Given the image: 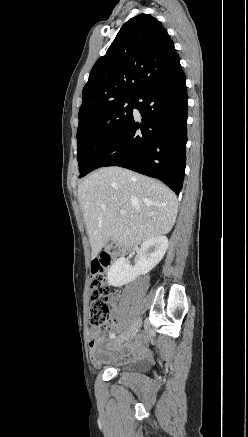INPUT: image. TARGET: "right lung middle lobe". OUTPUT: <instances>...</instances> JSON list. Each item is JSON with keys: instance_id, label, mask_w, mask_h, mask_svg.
Wrapping results in <instances>:
<instances>
[{"instance_id": "dd1d6c3e", "label": "right lung middle lobe", "mask_w": 248, "mask_h": 437, "mask_svg": "<svg viewBox=\"0 0 248 437\" xmlns=\"http://www.w3.org/2000/svg\"><path fill=\"white\" fill-rule=\"evenodd\" d=\"M135 97L119 100L92 114L77 129L80 177L91 172L97 157L121 134L133 118Z\"/></svg>"}]
</instances>
